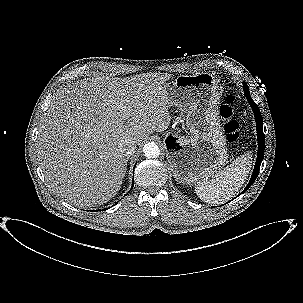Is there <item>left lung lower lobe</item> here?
I'll use <instances>...</instances> for the list:
<instances>
[{"label": "left lung lower lobe", "instance_id": "1", "mask_svg": "<svg viewBox=\"0 0 303 303\" xmlns=\"http://www.w3.org/2000/svg\"><path fill=\"white\" fill-rule=\"evenodd\" d=\"M243 90H244V93H245V96H246L248 102L250 103V106L252 107V110H253L254 116H255V120H256L257 139H258V153H257V160H256V163H255V167H254L252 177H251L248 185L246 186V188L243 190L242 193L247 191V189H249V187L254 183V181L257 178V175H258L259 170H260V165H261V162H262L263 157H264V146H265V137H264V133H263V121H262L260 110L258 108V105L252 100V98L250 96V93H249V88H248V86L245 82H243Z\"/></svg>", "mask_w": 303, "mask_h": 303}]
</instances>
